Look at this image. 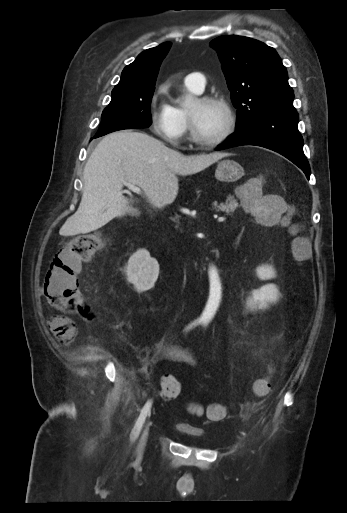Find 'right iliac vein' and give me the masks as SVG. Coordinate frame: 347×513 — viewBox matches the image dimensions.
<instances>
[{
    "instance_id": "obj_1",
    "label": "right iliac vein",
    "mask_w": 347,
    "mask_h": 513,
    "mask_svg": "<svg viewBox=\"0 0 347 513\" xmlns=\"http://www.w3.org/2000/svg\"><path fill=\"white\" fill-rule=\"evenodd\" d=\"M147 435H148V429L146 428L141 436V439H140V443H139V451L142 452V450L144 449V446L146 444V440H147Z\"/></svg>"
}]
</instances>
